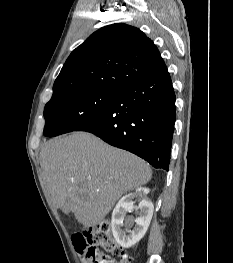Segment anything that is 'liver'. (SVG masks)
<instances>
[{
	"label": "liver",
	"mask_w": 233,
	"mask_h": 263,
	"mask_svg": "<svg viewBox=\"0 0 233 263\" xmlns=\"http://www.w3.org/2000/svg\"><path fill=\"white\" fill-rule=\"evenodd\" d=\"M44 182L57 208L96 226L126 192L149 182L150 166L87 132L49 140L41 149Z\"/></svg>",
	"instance_id": "1"
}]
</instances>
